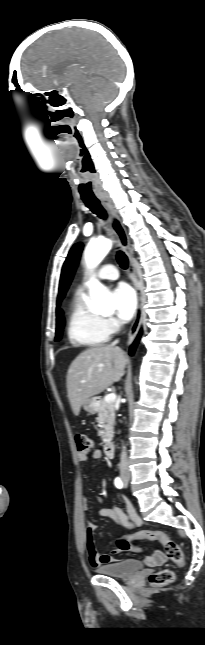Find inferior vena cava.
<instances>
[{"mask_svg":"<svg viewBox=\"0 0 205 645\" xmlns=\"http://www.w3.org/2000/svg\"><path fill=\"white\" fill-rule=\"evenodd\" d=\"M118 343V340H115L112 342V345H116ZM120 470L121 472H129V463H128V457H127V451L126 447L122 446V451H121V456H120Z\"/></svg>","mask_w":205,"mask_h":645,"instance_id":"1","label":"inferior vena cava"}]
</instances>
